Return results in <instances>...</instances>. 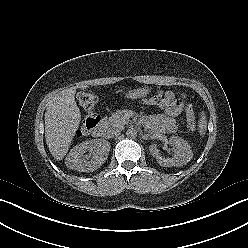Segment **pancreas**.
I'll return each mask as SVG.
<instances>
[{
	"mask_svg": "<svg viewBox=\"0 0 248 248\" xmlns=\"http://www.w3.org/2000/svg\"><path fill=\"white\" fill-rule=\"evenodd\" d=\"M130 121V118L127 116L126 110H119L112 114L111 117H109L106 120V125L108 127H123L125 124H128Z\"/></svg>",
	"mask_w": 248,
	"mask_h": 248,
	"instance_id": "obj_1",
	"label": "pancreas"
}]
</instances>
